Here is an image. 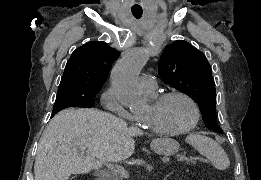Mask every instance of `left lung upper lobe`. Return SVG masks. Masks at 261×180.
<instances>
[{
    "label": "left lung upper lobe",
    "instance_id": "left-lung-upper-lobe-1",
    "mask_svg": "<svg viewBox=\"0 0 261 180\" xmlns=\"http://www.w3.org/2000/svg\"><path fill=\"white\" fill-rule=\"evenodd\" d=\"M161 78L198 103L207 128L222 132L216 119V90L211 66L205 55L188 42L167 45L159 61Z\"/></svg>",
    "mask_w": 261,
    "mask_h": 180
}]
</instances>
